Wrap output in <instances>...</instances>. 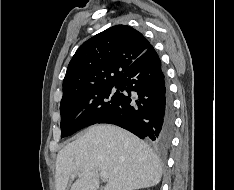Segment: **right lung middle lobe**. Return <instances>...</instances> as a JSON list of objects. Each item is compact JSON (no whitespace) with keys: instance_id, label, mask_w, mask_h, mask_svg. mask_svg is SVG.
I'll return each instance as SVG.
<instances>
[{"instance_id":"dd1d6c3e","label":"right lung middle lobe","mask_w":234,"mask_h":190,"mask_svg":"<svg viewBox=\"0 0 234 190\" xmlns=\"http://www.w3.org/2000/svg\"><path fill=\"white\" fill-rule=\"evenodd\" d=\"M118 84L84 92L60 103L61 138L72 135L78 130L98 123L108 115L119 100Z\"/></svg>"}]
</instances>
